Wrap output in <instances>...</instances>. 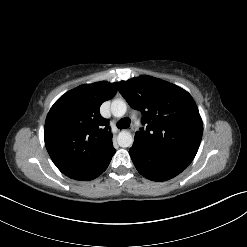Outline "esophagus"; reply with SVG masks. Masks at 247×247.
I'll list each match as a JSON object with an SVG mask.
<instances>
[{"label":"esophagus","instance_id":"34e87169","mask_svg":"<svg viewBox=\"0 0 247 247\" xmlns=\"http://www.w3.org/2000/svg\"><path fill=\"white\" fill-rule=\"evenodd\" d=\"M133 130V125L130 126V128L128 129V131H132Z\"/></svg>","mask_w":247,"mask_h":247}]
</instances>
